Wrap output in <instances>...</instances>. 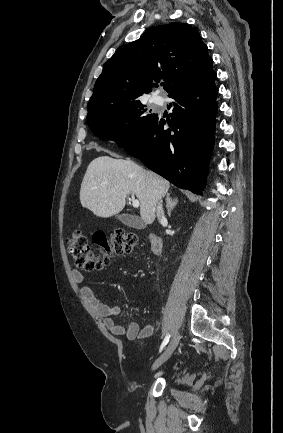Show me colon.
Listing matches in <instances>:
<instances>
[{"label": "colon", "instance_id": "obj_1", "mask_svg": "<svg viewBox=\"0 0 283 433\" xmlns=\"http://www.w3.org/2000/svg\"><path fill=\"white\" fill-rule=\"evenodd\" d=\"M94 242L99 247L97 253L91 251L87 236L80 230L74 231L67 241L69 254L82 270H100L109 263L112 256L131 252L137 237L133 233L116 230L109 238L105 234H96Z\"/></svg>", "mask_w": 283, "mask_h": 433}]
</instances>
